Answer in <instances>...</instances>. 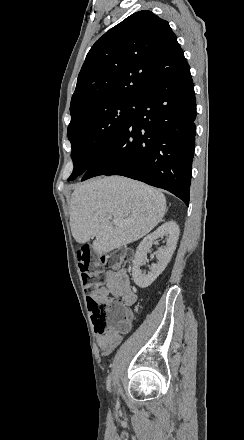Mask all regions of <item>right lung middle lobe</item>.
<instances>
[{
  "label": "right lung middle lobe",
  "mask_w": 244,
  "mask_h": 440,
  "mask_svg": "<svg viewBox=\"0 0 244 440\" xmlns=\"http://www.w3.org/2000/svg\"><path fill=\"white\" fill-rule=\"evenodd\" d=\"M140 98H107L73 110L67 136L72 144L74 169L68 181L83 175L125 128Z\"/></svg>",
  "instance_id": "dd1d6c3e"
}]
</instances>
